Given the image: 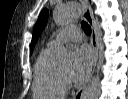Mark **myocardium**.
<instances>
[{"mask_svg":"<svg viewBox=\"0 0 128 99\" xmlns=\"http://www.w3.org/2000/svg\"><path fill=\"white\" fill-rule=\"evenodd\" d=\"M60 75H61V79L63 81V83L65 85H68L70 84V78H69V75L64 73L61 69H60Z\"/></svg>","mask_w":128,"mask_h":99,"instance_id":"obj_1","label":"myocardium"}]
</instances>
